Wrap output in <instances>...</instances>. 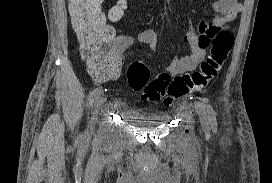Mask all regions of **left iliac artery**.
I'll return each instance as SVG.
<instances>
[{
	"label": "left iliac artery",
	"mask_w": 272,
	"mask_h": 183,
	"mask_svg": "<svg viewBox=\"0 0 272 183\" xmlns=\"http://www.w3.org/2000/svg\"><path fill=\"white\" fill-rule=\"evenodd\" d=\"M207 111H208V118L210 120V123H211L213 129H216V127H217L216 114H215V111L211 105H207Z\"/></svg>",
	"instance_id": "obj_1"
}]
</instances>
